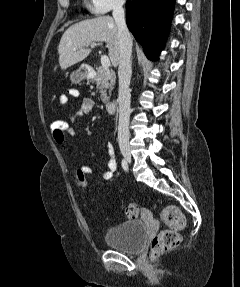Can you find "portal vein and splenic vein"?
I'll list each match as a JSON object with an SVG mask.
<instances>
[{"mask_svg": "<svg viewBox=\"0 0 240 287\" xmlns=\"http://www.w3.org/2000/svg\"><path fill=\"white\" fill-rule=\"evenodd\" d=\"M90 46L93 48V47L96 46V44H95V43H92ZM101 64H102V66H103L104 68H107V69H108V68L110 67V59H109V57L106 56V55H102V56H101Z\"/></svg>", "mask_w": 240, "mask_h": 287, "instance_id": "1", "label": "portal vein and splenic vein"}]
</instances>
